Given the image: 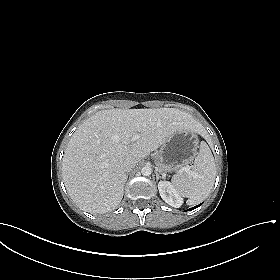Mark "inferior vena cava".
I'll return each mask as SVG.
<instances>
[{
    "label": "inferior vena cava",
    "mask_w": 280,
    "mask_h": 280,
    "mask_svg": "<svg viewBox=\"0 0 280 280\" xmlns=\"http://www.w3.org/2000/svg\"><path fill=\"white\" fill-rule=\"evenodd\" d=\"M123 166L125 171L129 172L131 169H133L136 166V160L135 158L128 156L123 160Z\"/></svg>",
    "instance_id": "obj_1"
}]
</instances>
